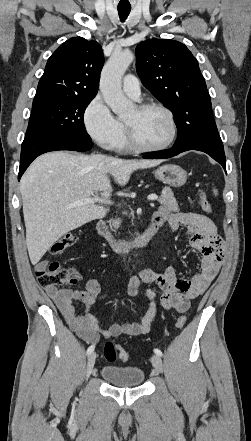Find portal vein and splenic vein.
Instances as JSON below:
<instances>
[{"label":"portal vein and splenic vein","mask_w":251,"mask_h":441,"mask_svg":"<svg viewBox=\"0 0 251 441\" xmlns=\"http://www.w3.org/2000/svg\"><path fill=\"white\" fill-rule=\"evenodd\" d=\"M158 199V196L156 194H151L148 196V200L150 201H155ZM102 202L103 200L99 199L97 195H94L93 198L89 197V198H85L79 201H76L74 203V205H85V204H90V203H95V202Z\"/></svg>","instance_id":"portal-vein-and-splenic-vein-1"}]
</instances>
